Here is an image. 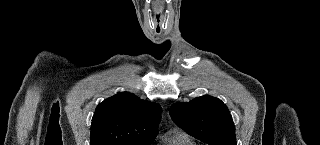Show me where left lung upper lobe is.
Instances as JSON below:
<instances>
[{
  "instance_id": "left-lung-upper-lobe-1",
  "label": "left lung upper lobe",
  "mask_w": 320,
  "mask_h": 145,
  "mask_svg": "<svg viewBox=\"0 0 320 145\" xmlns=\"http://www.w3.org/2000/svg\"><path fill=\"white\" fill-rule=\"evenodd\" d=\"M175 124L189 135L209 145H236L235 127L226 105L212 96L171 106Z\"/></svg>"
}]
</instances>
